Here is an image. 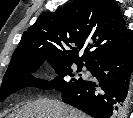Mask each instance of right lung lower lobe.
I'll return each instance as SVG.
<instances>
[{
    "label": "right lung lower lobe",
    "mask_w": 133,
    "mask_h": 118,
    "mask_svg": "<svg viewBox=\"0 0 133 118\" xmlns=\"http://www.w3.org/2000/svg\"><path fill=\"white\" fill-rule=\"evenodd\" d=\"M90 70L97 80L62 91L63 102L94 118H124L133 72L132 41L97 59Z\"/></svg>",
    "instance_id": "right-lung-lower-lobe-1"
}]
</instances>
